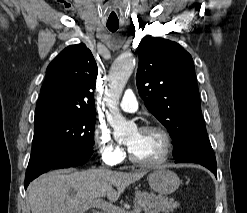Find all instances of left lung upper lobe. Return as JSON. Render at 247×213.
Returning <instances> with one entry per match:
<instances>
[{"label":"left lung upper lobe","instance_id":"left-lung-upper-lobe-1","mask_svg":"<svg viewBox=\"0 0 247 213\" xmlns=\"http://www.w3.org/2000/svg\"><path fill=\"white\" fill-rule=\"evenodd\" d=\"M136 83L148 110L167 128L174 155L196 134H207L191 55L176 42L144 37Z\"/></svg>","mask_w":247,"mask_h":213}]
</instances>
